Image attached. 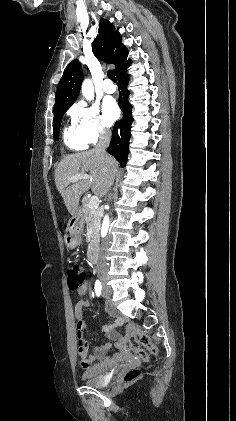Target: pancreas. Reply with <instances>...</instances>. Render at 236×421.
<instances>
[{"label":"pancreas","instance_id":"cf45deb5","mask_svg":"<svg viewBox=\"0 0 236 421\" xmlns=\"http://www.w3.org/2000/svg\"><path fill=\"white\" fill-rule=\"evenodd\" d=\"M89 200L90 198H83L82 204H83V215L84 219L86 221V225L88 227H91L93 231V235H91V239L93 241H97L99 239V229H100V223H101V211H99V208H90L89 206Z\"/></svg>","mask_w":236,"mask_h":421}]
</instances>
